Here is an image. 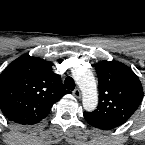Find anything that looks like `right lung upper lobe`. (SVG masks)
I'll return each mask as SVG.
<instances>
[{
	"mask_svg": "<svg viewBox=\"0 0 145 145\" xmlns=\"http://www.w3.org/2000/svg\"><path fill=\"white\" fill-rule=\"evenodd\" d=\"M51 67L52 63L29 55L6 67L0 75V109L7 118L23 125L35 124L70 93Z\"/></svg>",
	"mask_w": 145,
	"mask_h": 145,
	"instance_id": "obj_1",
	"label": "right lung upper lobe"
}]
</instances>
